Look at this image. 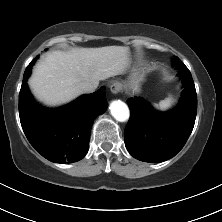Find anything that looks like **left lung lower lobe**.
I'll list each match as a JSON object with an SVG mask.
<instances>
[{"mask_svg":"<svg viewBox=\"0 0 222 222\" xmlns=\"http://www.w3.org/2000/svg\"><path fill=\"white\" fill-rule=\"evenodd\" d=\"M183 95L178 106L160 113L141 98L127 100L131 116L124 131L128 152L144 162H162L175 156L189 138L196 119L197 95L189 70L179 72Z\"/></svg>","mask_w":222,"mask_h":222,"instance_id":"1","label":"left lung lower lobe"}]
</instances>
